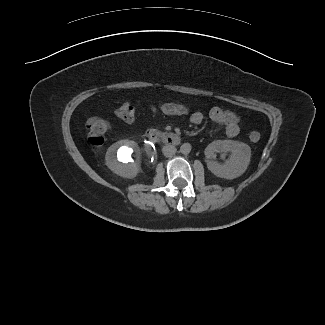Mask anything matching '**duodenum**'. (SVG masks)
<instances>
[{"label": "duodenum", "instance_id": "duodenum-1", "mask_svg": "<svg viewBox=\"0 0 325 325\" xmlns=\"http://www.w3.org/2000/svg\"><path fill=\"white\" fill-rule=\"evenodd\" d=\"M145 140L163 143L169 146H176L180 143V137L174 133H160L155 130H150L145 134Z\"/></svg>", "mask_w": 325, "mask_h": 325}]
</instances>
